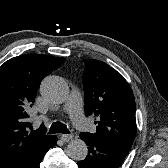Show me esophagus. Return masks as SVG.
I'll use <instances>...</instances> for the list:
<instances>
[{"label":"esophagus","instance_id":"1","mask_svg":"<svg viewBox=\"0 0 168 168\" xmlns=\"http://www.w3.org/2000/svg\"><path fill=\"white\" fill-rule=\"evenodd\" d=\"M61 140L64 142H69L70 140H72L74 138L73 134H63L61 135Z\"/></svg>","mask_w":168,"mask_h":168}]
</instances>
